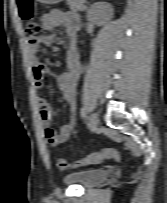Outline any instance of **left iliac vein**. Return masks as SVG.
<instances>
[{
    "label": "left iliac vein",
    "instance_id": "obj_1",
    "mask_svg": "<svg viewBox=\"0 0 167 203\" xmlns=\"http://www.w3.org/2000/svg\"><path fill=\"white\" fill-rule=\"evenodd\" d=\"M98 125H99V117L98 114L94 112L89 117L88 126L92 131H94L98 127Z\"/></svg>",
    "mask_w": 167,
    "mask_h": 203
}]
</instances>
